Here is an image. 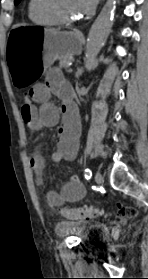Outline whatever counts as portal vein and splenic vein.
<instances>
[{
	"instance_id": "18ae733b",
	"label": "portal vein and splenic vein",
	"mask_w": 148,
	"mask_h": 279,
	"mask_svg": "<svg viewBox=\"0 0 148 279\" xmlns=\"http://www.w3.org/2000/svg\"><path fill=\"white\" fill-rule=\"evenodd\" d=\"M69 65H71V63H70ZM69 71H72V70H71V69H69Z\"/></svg>"
}]
</instances>
